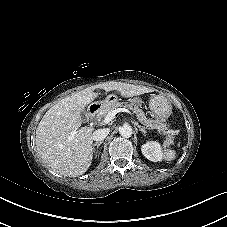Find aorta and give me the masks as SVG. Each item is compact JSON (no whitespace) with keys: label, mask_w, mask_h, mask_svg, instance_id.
Masks as SVG:
<instances>
[{"label":"aorta","mask_w":227,"mask_h":227,"mask_svg":"<svg viewBox=\"0 0 227 227\" xmlns=\"http://www.w3.org/2000/svg\"><path fill=\"white\" fill-rule=\"evenodd\" d=\"M132 128L129 125H123L122 127H120L119 129V133L122 137L124 138H129L132 136L133 132H132Z\"/></svg>","instance_id":"aorta-1"}]
</instances>
